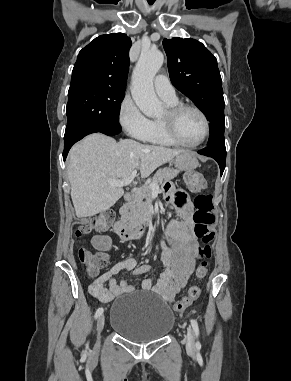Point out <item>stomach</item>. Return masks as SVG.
I'll return each instance as SVG.
<instances>
[{
  "mask_svg": "<svg viewBox=\"0 0 291 381\" xmlns=\"http://www.w3.org/2000/svg\"><path fill=\"white\" fill-rule=\"evenodd\" d=\"M174 165L178 170L190 172L198 166V161L191 152L186 151L175 157Z\"/></svg>",
  "mask_w": 291,
  "mask_h": 381,
  "instance_id": "1",
  "label": "stomach"
}]
</instances>
